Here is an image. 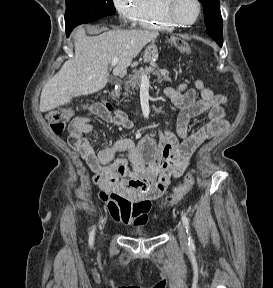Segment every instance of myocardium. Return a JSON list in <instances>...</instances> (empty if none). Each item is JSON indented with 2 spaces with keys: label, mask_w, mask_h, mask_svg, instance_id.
<instances>
[{
  "label": "myocardium",
  "mask_w": 273,
  "mask_h": 288,
  "mask_svg": "<svg viewBox=\"0 0 273 288\" xmlns=\"http://www.w3.org/2000/svg\"><path fill=\"white\" fill-rule=\"evenodd\" d=\"M194 2L196 3L197 6V15L192 21L185 22L180 20L174 13V5L176 3V0H162V6L165 17L175 26L188 27L195 24L201 16L202 5L200 0H194Z\"/></svg>",
  "instance_id": "f54148a6"
}]
</instances>
